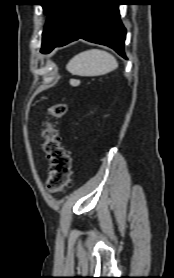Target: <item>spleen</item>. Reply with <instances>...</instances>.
Listing matches in <instances>:
<instances>
[{
	"instance_id": "3e777b00",
	"label": "spleen",
	"mask_w": 174,
	"mask_h": 278,
	"mask_svg": "<svg viewBox=\"0 0 174 278\" xmlns=\"http://www.w3.org/2000/svg\"><path fill=\"white\" fill-rule=\"evenodd\" d=\"M117 67L118 62L115 57L99 49H91L79 53L66 66L70 73L83 77L104 75Z\"/></svg>"
}]
</instances>
